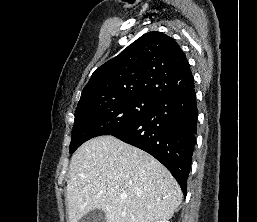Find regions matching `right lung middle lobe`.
Returning a JSON list of instances; mask_svg holds the SVG:
<instances>
[{"label": "right lung middle lobe", "instance_id": "dd1d6c3e", "mask_svg": "<svg viewBox=\"0 0 257 222\" xmlns=\"http://www.w3.org/2000/svg\"><path fill=\"white\" fill-rule=\"evenodd\" d=\"M157 103L158 100L153 98L134 96L122 99L98 97L78 104L70 153L91 138L128 128L153 110Z\"/></svg>", "mask_w": 257, "mask_h": 222}]
</instances>
